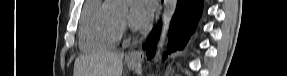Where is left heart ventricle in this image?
Masks as SVG:
<instances>
[{
	"instance_id": "1",
	"label": "left heart ventricle",
	"mask_w": 287,
	"mask_h": 76,
	"mask_svg": "<svg viewBox=\"0 0 287 76\" xmlns=\"http://www.w3.org/2000/svg\"><path fill=\"white\" fill-rule=\"evenodd\" d=\"M116 16L121 19V20H124L126 21L127 19V16H128V12L126 10H123V11H120L116 14Z\"/></svg>"
}]
</instances>
